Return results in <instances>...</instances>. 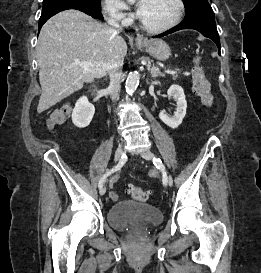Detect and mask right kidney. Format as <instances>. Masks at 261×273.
<instances>
[{
  "label": "right kidney",
  "instance_id": "right-kidney-1",
  "mask_svg": "<svg viewBox=\"0 0 261 273\" xmlns=\"http://www.w3.org/2000/svg\"><path fill=\"white\" fill-rule=\"evenodd\" d=\"M95 113V107L86 96L78 99L72 112V122L78 128L87 127Z\"/></svg>",
  "mask_w": 261,
  "mask_h": 273
}]
</instances>
